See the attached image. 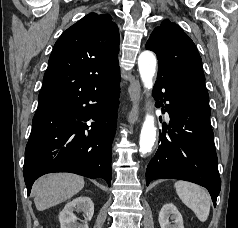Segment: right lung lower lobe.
<instances>
[{"instance_id":"obj_1","label":"right lung lower lobe","mask_w":238,"mask_h":228,"mask_svg":"<svg viewBox=\"0 0 238 228\" xmlns=\"http://www.w3.org/2000/svg\"><path fill=\"white\" fill-rule=\"evenodd\" d=\"M119 94L120 79L101 89L37 108L23 169L28 194L38 177L51 172L103 178L110 186ZM89 120H94L90 126Z\"/></svg>"}]
</instances>
